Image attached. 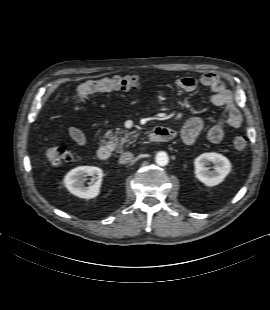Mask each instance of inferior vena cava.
<instances>
[{"mask_svg":"<svg viewBox=\"0 0 270 310\" xmlns=\"http://www.w3.org/2000/svg\"><path fill=\"white\" fill-rule=\"evenodd\" d=\"M133 159V154L131 152H124L119 158V163L126 164Z\"/></svg>","mask_w":270,"mask_h":310,"instance_id":"inferior-vena-cava-1","label":"inferior vena cava"}]
</instances>
